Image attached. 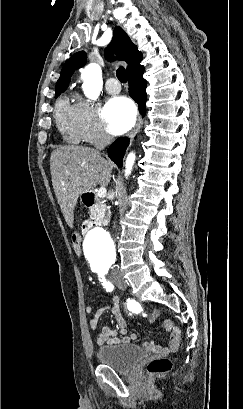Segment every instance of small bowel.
<instances>
[{
	"label": "small bowel",
	"mask_w": 243,
	"mask_h": 409,
	"mask_svg": "<svg viewBox=\"0 0 243 409\" xmlns=\"http://www.w3.org/2000/svg\"><path fill=\"white\" fill-rule=\"evenodd\" d=\"M85 310L87 313H90L92 311V308L91 306H87ZM106 310H110V312L112 313L117 322L118 327L117 329H114L109 326H103L101 332L99 333L95 341L97 345L101 346L104 344L106 345L128 344L131 341L137 340L138 338L137 334L133 333L129 336L127 335L126 321L121 313L120 300L116 296L112 298V302L110 305L100 308L93 314L89 322V326L91 329H96L98 327L101 316ZM129 310L133 313L137 312L136 305L133 303L129 304ZM151 321L152 320H149V322ZM161 327L168 333L169 336L168 345L163 347L156 344L153 341H150L146 342L144 346L148 350L158 354H170L177 351L181 341V333L179 328L174 326V324L170 320H164L162 322ZM117 335H120L121 337H118Z\"/></svg>",
	"instance_id": "1"
}]
</instances>
